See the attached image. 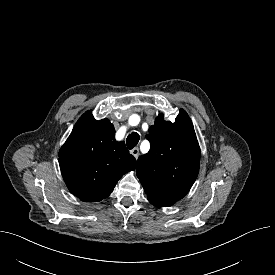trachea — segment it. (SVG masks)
<instances>
[{"label":"trachea","mask_w":275,"mask_h":275,"mask_svg":"<svg viewBox=\"0 0 275 275\" xmlns=\"http://www.w3.org/2000/svg\"><path fill=\"white\" fill-rule=\"evenodd\" d=\"M140 136L136 132H132V134H129L126 139V144L128 149H133L139 142Z\"/></svg>","instance_id":"3493384b"}]
</instances>
